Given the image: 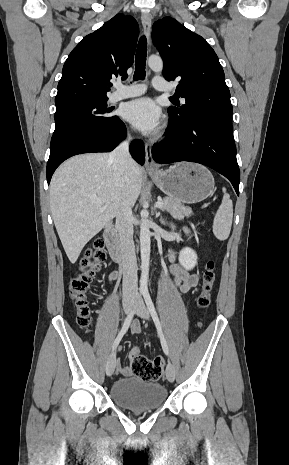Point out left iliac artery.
<instances>
[{
	"instance_id": "44dca946",
	"label": "left iliac artery",
	"mask_w": 289,
	"mask_h": 465,
	"mask_svg": "<svg viewBox=\"0 0 289 465\" xmlns=\"http://www.w3.org/2000/svg\"><path fill=\"white\" fill-rule=\"evenodd\" d=\"M143 296H144V300L146 302V305L149 309V312L153 318V321L155 323V326L157 328V331H158V335L160 337V341H161V345H162V348H163V351L166 355H169V349H168V346H167V343H166V340L164 338V335H163V332H162V327H161V323L159 321V318H158V315H157V312H156V309L154 307V304L152 302V299L150 297V294L148 291H145L143 293Z\"/></svg>"
}]
</instances>
